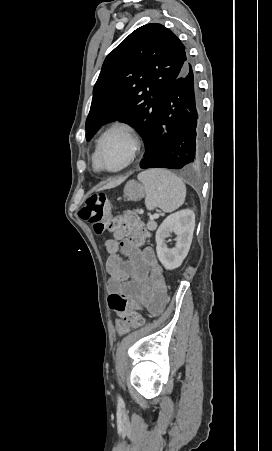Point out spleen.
Listing matches in <instances>:
<instances>
[{
  "label": "spleen",
  "instance_id": "obj_1",
  "mask_svg": "<svg viewBox=\"0 0 272 451\" xmlns=\"http://www.w3.org/2000/svg\"><path fill=\"white\" fill-rule=\"evenodd\" d=\"M144 184L147 210L161 208L163 212H174L185 202L186 186L178 176L163 168L145 170L137 176Z\"/></svg>",
  "mask_w": 272,
  "mask_h": 451
}]
</instances>
